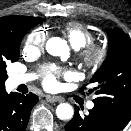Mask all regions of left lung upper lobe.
I'll return each mask as SVG.
<instances>
[{"label":"left lung upper lobe","mask_w":131,"mask_h":131,"mask_svg":"<svg viewBox=\"0 0 131 131\" xmlns=\"http://www.w3.org/2000/svg\"><path fill=\"white\" fill-rule=\"evenodd\" d=\"M107 34V57L90 80L97 85L90 92L97 95L93 100L95 105L126 124L131 117V39L119 28L108 29Z\"/></svg>","instance_id":"obj_1"}]
</instances>
